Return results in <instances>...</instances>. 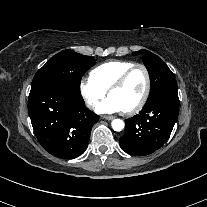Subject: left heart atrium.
<instances>
[{
  "label": "left heart atrium",
  "mask_w": 207,
  "mask_h": 207,
  "mask_svg": "<svg viewBox=\"0 0 207 207\" xmlns=\"http://www.w3.org/2000/svg\"><path fill=\"white\" fill-rule=\"evenodd\" d=\"M95 110L98 113H107V114L123 111L120 104L110 95L104 100H102L100 103H98Z\"/></svg>",
  "instance_id": "1"
}]
</instances>
